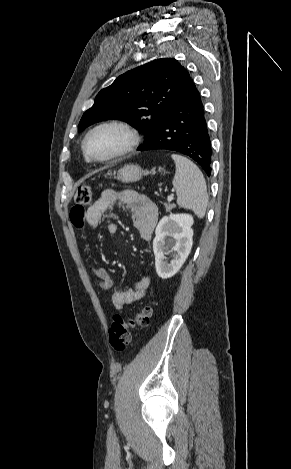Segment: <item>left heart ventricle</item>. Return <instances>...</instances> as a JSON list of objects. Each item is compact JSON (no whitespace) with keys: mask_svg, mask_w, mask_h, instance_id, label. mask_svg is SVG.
<instances>
[{"mask_svg":"<svg viewBox=\"0 0 291 469\" xmlns=\"http://www.w3.org/2000/svg\"><path fill=\"white\" fill-rule=\"evenodd\" d=\"M127 141L126 134L114 127L99 129L88 141V151L93 157L104 158L120 150Z\"/></svg>","mask_w":291,"mask_h":469,"instance_id":"b2bd125f","label":"left heart ventricle"}]
</instances>
